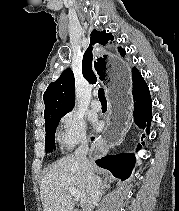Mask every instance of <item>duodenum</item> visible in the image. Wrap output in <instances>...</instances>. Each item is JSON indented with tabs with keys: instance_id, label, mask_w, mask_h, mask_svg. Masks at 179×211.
I'll use <instances>...</instances> for the list:
<instances>
[{
	"instance_id": "410a0bca",
	"label": "duodenum",
	"mask_w": 179,
	"mask_h": 211,
	"mask_svg": "<svg viewBox=\"0 0 179 211\" xmlns=\"http://www.w3.org/2000/svg\"><path fill=\"white\" fill-rule=\"evenodd\" d=\"M73 211H80V210L75 209V210H73Z\"/></svg>"
}]
</instances>
